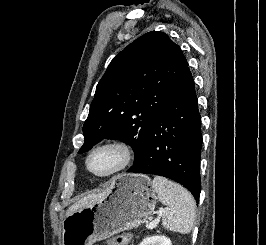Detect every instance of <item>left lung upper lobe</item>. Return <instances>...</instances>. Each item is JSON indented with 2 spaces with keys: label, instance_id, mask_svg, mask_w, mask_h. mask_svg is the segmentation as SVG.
Listing matches in <instances>:
<instances>
[{
  "label": "left lung upper lobe",
  "instance_id": "left-lung-upper-lobe-1",
  "mask_svg": "<svg viewBox=\"0 0 266 245\" xmlns=\"http://www.w3.org/2000/svg\"><path fill=\"white\" fill-rule=\"evenodd\" d=\"M187 67L180 47L163 32H148L129 44L97 85L78 153L104 138L120 139L133 148L135 164L150 125Z\"/></svg>",
  "mask_w": 266,
  "mask_h": 245
}]
</instances>
